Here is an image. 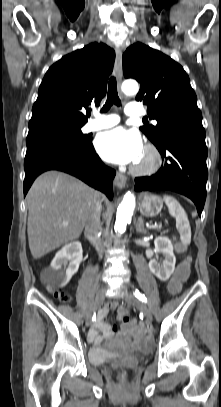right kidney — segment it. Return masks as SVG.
Returning a JSON list of instances; mask_svg holds the SVG:
<instances>
[{
	"label": "right kidney",
	"mask_w": 221,
	"mask_h": 407,
	"mask_svg": "<svg viewBox=\"0 0 221 407\" xmlns=\"http://www.w3.org/2000/svg\"><path fill=\"white\" fill-rule=\"evenodd\" d=\"M82 261V246L78 241L70 242L59 250L51 262L50 281L57 287H65L78 271ZM69 262L66 270L62 269Z\"/></svg>",
	"instance_id": "obj_1"
}]
</instances>
